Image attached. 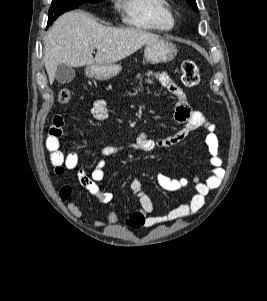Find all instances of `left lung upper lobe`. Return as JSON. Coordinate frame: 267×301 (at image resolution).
Instances as JSON below:
<instances>
[{
  "label": "left lung upper lobe",
  "instance_id": "left-lung-upper-lobe-1",
  "mask_svg": "<svg viewBox=\"0 0 267 301\" xmlns=\"http://www.w3.org/2000/svg\"><path fill=\"white\" fill-rule=\"evenodd\" d=\"M187 2L192 6L195 11H198V7L196 5L195 0H187Z\"/></svg>",
  "mask_w": 267,
  "mask_h": 301
}]
</instances>
